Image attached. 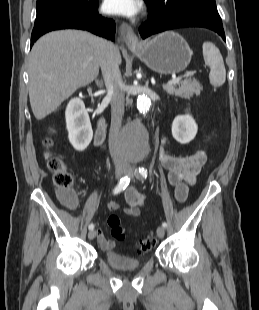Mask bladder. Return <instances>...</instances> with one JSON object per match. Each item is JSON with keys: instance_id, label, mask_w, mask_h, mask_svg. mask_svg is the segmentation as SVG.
Returning a JSON list of instances; mask_svg holds the SVG:
<instances>
[{"instance_id": "1", "label": "bladder", "mask_w": 259, "mask_h": 310, "mask_svg": "<svg viewBox=\"0 0 259 310\" xmlns=\"http://www.w3.org/2000/svg\"><path fill=\"white\" fill-rule=\"evenodd\" d=\"M104 259L109 266L120 270L135 269L142 265L141 260L135 259L115 250L107 251Z\"/></svg>"}]
</instances>
